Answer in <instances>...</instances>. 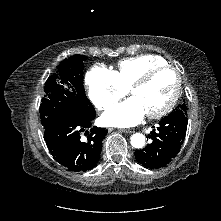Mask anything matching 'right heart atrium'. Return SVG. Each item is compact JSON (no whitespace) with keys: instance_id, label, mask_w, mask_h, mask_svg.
Listing matches in <instances>:
<instances>
[{"instance_id":"obj_1","label":"right heart atrium","mask_w":221,"mask_h":221,"mask_svg":"<svg viewBox=\"0 0 221 221\" xmlns=\"http://www.w3.org/2000/svg\"><path fill=\"white\" fill-rule=\"evenodd\" d=\"M88 96L99 110H104L117 102L126 93V89L117 79L114 71L95 65L85 77Z\"/></svg>"}]
</instances>
